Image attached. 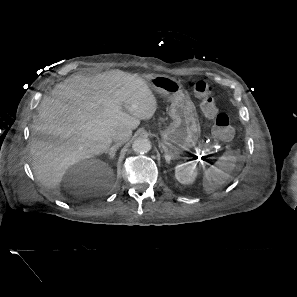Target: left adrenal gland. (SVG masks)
I'll return each instance as SVG.
<instances>
[{"instance_id": "a2214340", "label": "left adrenal gland", "mask_w": 297, "mask_h": 297, "mask_svg": "<svg viewBox=\"0 0 297 297\" xmlns=\"http://www.w3.org/2000/svg\"><path fill=\"white\" fill-rule=\"evenodd\" d=\"M164 152H165L164 158H165L166 162L168 164H170L171 160L175 159V156L173 153H168V150L166 148L164 149Z\"/></svg>"}]
</instances>
